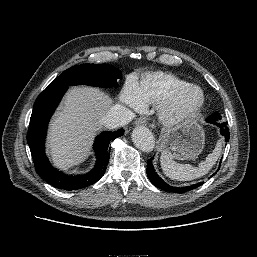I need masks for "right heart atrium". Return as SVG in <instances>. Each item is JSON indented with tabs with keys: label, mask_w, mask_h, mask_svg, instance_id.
<instances>
[{
	"label": "right heart atrium",
	"mask_w": 257,
	"mask_h": 257,
	"mask_svg": "<svg viewBox=\"0 0 257 257\" xmlns=\"http://www.w3.org/2000/svg\"><path fill=\"white\" fill-rule=\"evenodd\" d=\"M120 99L123 103L135 110H141L144 108V105L137 96L135 81L133 79L128 80L125 84Z\"/></svg>",
	"instance_id": "obj_1"
}]
</instances>
